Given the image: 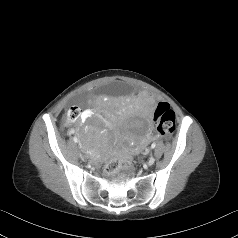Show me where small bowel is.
I'll list each match as a JSON object with an SVG mask.
<instances>
[{
  "instance_id": "1",
  "label": "small bowel",
  "mask_w": 238,
  "mask_h": 238,
  "mask_svg": "<svg viewBox=\"0 0 238 238\" xmlns=\"http://www.w3.org/2000/svg\"><path fill=\"white\" fill-rule=\"evenodd\" d=\"M147 111L149 113H152L155 111L156 107H154V104L152 102H147L146 105H145ZM149 136V133L147 134V137Z\"/></svg>"
}]
</instances>
